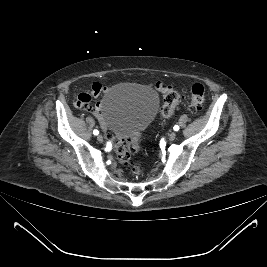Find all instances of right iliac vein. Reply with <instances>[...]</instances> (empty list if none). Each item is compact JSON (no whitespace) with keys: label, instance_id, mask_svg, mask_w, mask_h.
<instances>
[{"label":"right iliac vein","instance_id":"obj_1","mask_svg":"<svg viewBox=\"0 0 267 267\" xmlns=\"http://www.w3.org/2000/svg\"><path fill=\"white\" fill-rule=\"evenodd\" d=\"M97 140H98L100 143H102V142H103V136H102L101 134H99V135L97 136Z\"/></svg>","mask_w":267,"mask_h":267}]
</instances>
